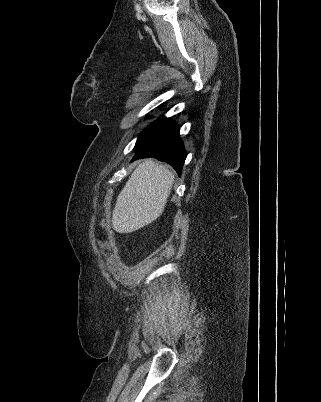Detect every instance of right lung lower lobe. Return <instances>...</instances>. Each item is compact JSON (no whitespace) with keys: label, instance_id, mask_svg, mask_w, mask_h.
Returning a JSON list of instances; mask_svg holds the SVG:
<instances>
[{"label":"right lung lower lobe","instance_id":"right-lung-lower-lobe-1","mask_svg":"<svg viewBox=\"0 0 321 402\" xmlns=\"http://www.w3.org/2000/svg\"><path fill=\"white\" fill-rule=\"evenodd\" d=\"M135 150L137 153L133 160L153 157L173 166L179 175L187 156L178 125L164 116L141 132Z\"/></svg>","mask_w":321,"mask_h":402}]
</instances>
